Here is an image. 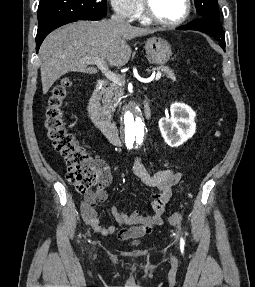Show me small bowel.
<instances>
[{"label":"small bowel","mask_w":255,"mask_h":287,"mask_svg":"<svg viewBox=\"0 0 255 287\" xmlns=\"http://www.w3.org/2000/svg\"><path fill=\"white\" fill-rule=\"evenodd\" d=\"M132 170L144 185L157 190L151 195L152 214L142 215L137 210L126 213L115 208L112 215L124 228L117 230L114 226H103L95 206L97 202L106 200V187L111 182V174L107 167L102 166L98 188L87 193L81 202L83 220L96 233L103 236L117 234L121 239H128L150 234L155 226L162 224L165 207L172 196L174 186L181 180V173L174 169L149 172L140 158L134 160Z\"/></svg>","instance_id":"c3829d8e"}]
</instances>
